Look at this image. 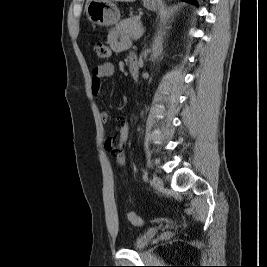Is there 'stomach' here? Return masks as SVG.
I'll return each instance as SVG.
<instances>
[{"label": "stomach", "instance_id": "obj_1", "mask_svg": "<svg viewBox=\"0 0 267 267\" xmlns=\"http://www.w3.org/2000/svg\"><path fill=\"white\" fill-rule=\"evenodd\" d=\"M148 10H156L158 0H143ZM86 15L95 25L108 27L120 20V11L110 0H91L86 5Z\"/></svg>", "mask_w": 267, "mask_h": 267}]
</instances>
